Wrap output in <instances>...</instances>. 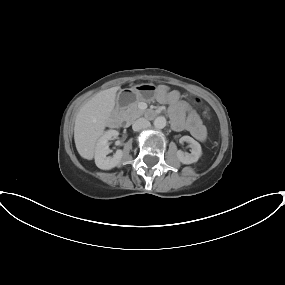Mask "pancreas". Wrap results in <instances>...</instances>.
Masks as SVG:
<instances>
[{
	"label": "pancreas",
	"mask_w": 285,
	"mask_h": 285,
	"mask_svg": "<svg viewBox=\"0 0 285 285\" xmlns=\"http://www.w3.org/2000/svg\"><path fill=\"white\" fill-rule=\"evenodd\" d=\"M123 113L126 120L133 121L141 117L145 111L138 108V102L136 101L130 104Z\"/></svg>",
	"instance_id": "cf45deb5"
}]
</instances>
